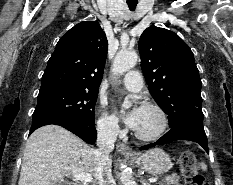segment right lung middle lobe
I'll return each instance as SVG.
<instances>
[{
    "label": "right lung middle lobe",
    "instance_id": "1",
    "mask_svg": "<svg viewBox=\"0 0 233 185\" xmlns=\"http://www.w3.org/2000/svg\"><path fill=\"white\" fill-rule=\"evenodd\" d=\"M97 96L98 91L67 88L40 90L33 119L43 117L66 118L95 126L94 109Z\"/></svg>",
    "mask_w": 233,
    "mask_h": 185
}]
</instances>
